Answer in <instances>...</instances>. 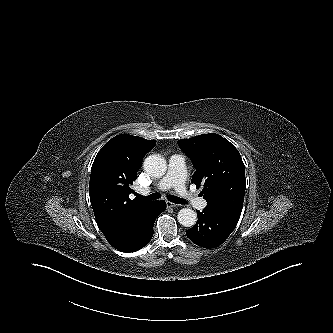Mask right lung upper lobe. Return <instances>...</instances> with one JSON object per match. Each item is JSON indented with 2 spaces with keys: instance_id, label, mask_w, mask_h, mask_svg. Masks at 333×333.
<instances>
[{
  "instance_id": "1",
  "label": "right lung upper lobe",
  "mask_w": 333,
  "mask_h": 333,
  "mask_svg": "<svg viewBox=\"0 0 333 333\" xmlns=\"http://www.w3.org/2000/svg\"><path fill=\"white\" fill-rule=\"evenodd\" d=\"M155 145V140L117 135L100 149L93 162L90 201L99 229L114 248L127 241L137 223L154 207L155 201L131 200L129 194L144 156Z\"/></svg>"
}]
</instances>
